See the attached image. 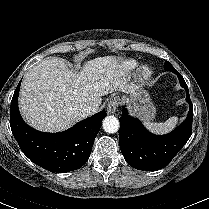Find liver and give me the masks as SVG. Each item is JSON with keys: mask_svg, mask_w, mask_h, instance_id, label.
<instances>
[{"mask_svg": "<svg viewBox=\"0 0 209 209\" xmlns=\"http://www.w3.org/2000/svg\"><path fill=\"white\" fill-rule=\"evenodd\" d=\"M127 75L116 56L97 57L86 62L80 73L71 71L64 60L46 58L25 74L19 109L25 121L44 132H59L85 119L84 108L97 109L102 96L114 91L132 93Z\"/></svg>", "mask_w": 209, "mask_h": 209, "instance_id": "1", "label": "liver"}]
</instances>
